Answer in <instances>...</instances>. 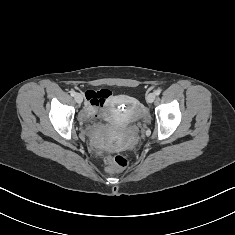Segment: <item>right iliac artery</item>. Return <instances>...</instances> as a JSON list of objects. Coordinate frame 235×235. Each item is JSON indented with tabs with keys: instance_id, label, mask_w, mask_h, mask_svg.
Listing matches in <instances>:
<instances>
[{
	"instance_id": "right-iliac-artery-1",
	"label": "right iliac artery",
	"mask_w": 235,
	"mask_h": 235,
	"mask_svg": "<svg viewBox=\"0 0 235 235\" xmlns=\"http://www.w3.org/2000/svg\"><path fill=\"white\" fill-rule=\"evenodd\" d=\"M70 94H71V96H73V97H74L76 93H75V91H74V90H71V91H70Z\"/></svg>"
}]
</instances>
